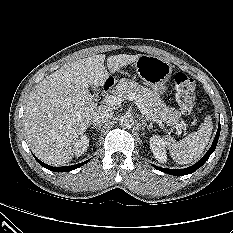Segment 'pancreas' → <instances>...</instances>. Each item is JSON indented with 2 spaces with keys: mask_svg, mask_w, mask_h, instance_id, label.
<instances>
[{
  "mask_svg": "<svg viewBox=\"0 0 233 233\" xmlns=\"http://www.w3.org/2000/svg\"><path fill=\"white\" fill-rule=\"evenodd\" d=\"M112 93L123 100L130 96L133 100L140 101V103L149 111L150 119L153 117L161 120L166 125L178 124L181 113L174 107H167L159 95L149 88L139 85L136 82L128 79H122L116 85Z\"/></svg>",
  "mask_w": 233,
  "mask_h": 233,
  "instance_id": "cf45deb5",
  "label": "pancreas"
}]
</instances>
